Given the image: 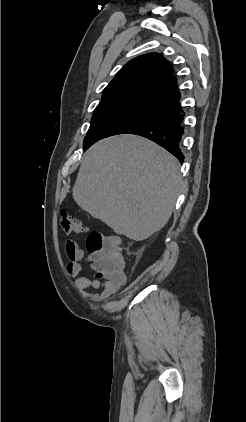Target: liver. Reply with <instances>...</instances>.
I'll list each match as a JSON object with an SVG mask.
<instances>
[{"label":"liver","instance_id":"obj_1","mask_svg":"<svg viewBox=\"0 0 246 422\" xmlns=\"http://www.w3.org/2000/svg\"><path fill=\"white\" fill-rule=\"evenodd\" d=\"M182 187L173 155L148 139L126 134L87 150L72 195L82 210L116 234L142 241L167 224Z\"/></svg>","mask_w":246,"mask_h":422}]
</instances>
